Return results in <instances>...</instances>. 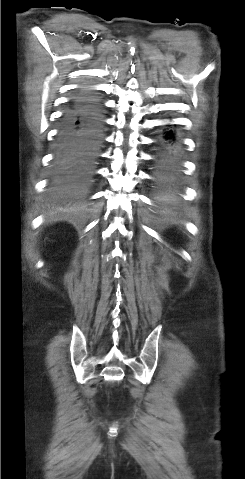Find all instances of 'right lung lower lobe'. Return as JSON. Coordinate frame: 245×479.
<instances>
[{"instance_id": "1", "label": "right lung lower lobe", "mask_w": 245, "mask_h": 479, "mask_svg": "<svg viewBox=\"0 0 245 479\" xmlns=\"http://www.w3.org/2000/svg\"><path fill=\"white\" fill-rule=\"evenodd\" d=\"M100 100L82 90L65 109L57 135L50 192L65 201L84 203L104 135Z\"/></svg>"}]
</instances>
